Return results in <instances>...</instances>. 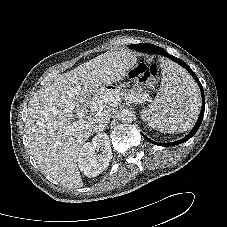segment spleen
I'll list each match as a JSON object with an SVG mask.
<instances>
[{
    "instance_id": "spleen-1",
    "label": "spleen",
    "mask_w": 227,
    "mask_h": 227,
    "mask_svg": "<svg viewBox=\"0 0 227 227\" xmlns=\"http://www.w3.org/2000/svg\"><path fill=\"white\" fill-rule=\"evenodd\" d=\"M156 98L143 109L142 119L152 128L168 133L190 129L198 117L201 100L196 84L180 67L164 61Z\"/></svg>"
}]
</instances>
